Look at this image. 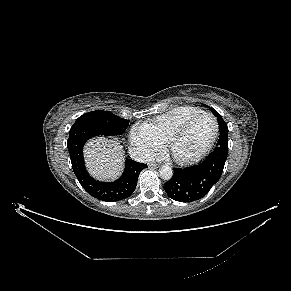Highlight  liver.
Masks as SVG:
<instances>
[{"instance_id":"liver-1","label":"liver","mask_w":291,"mask_h":291,"mask_svg":"<svg viewBox=\"0 0 291 291\" xmlns=\"http://www.w3.org/2000/svg\"><path fill=\"white\" fill-rule=\"evenodd\" d=\"M87 168L99 179L114 178L122 168L123 153L116 141L92 139L84 150Z\"/></svg>"}]
</instances>
